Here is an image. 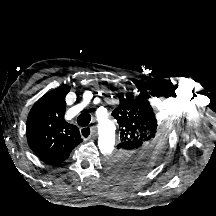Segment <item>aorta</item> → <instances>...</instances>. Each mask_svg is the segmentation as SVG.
<instances>
[{"mask_svg": "<svg viewBox=\"0 0 216 216\" xmlns=\"http://www.w3.org/2000/svg\"><path fill=\"white\" fill-rule=\"evenodd\" d=\"M98 147L102 154L109 155L112 153L115 145L116 126L107 116L98 114Z\"/></svg>", "mask_w": 216, "mask_h": 216, "instance_id": "1", "label": "aorta"}]
</instances>
